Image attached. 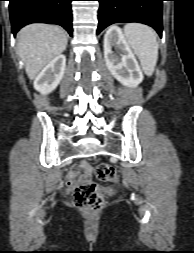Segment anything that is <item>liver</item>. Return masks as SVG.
<instances>
[{
	"instance_id": "6515ba94",
	"label": "liver",
	"mask_w": 194,
	"mask_h": 253,
	"mask_svg": "<svg viewBox=\"0 0 194 253\" xmlns=\"http://www.w3.org/2000/svg\"><path fill=\"white\" fill-rule=\"evenodd\" d=\"M67 46L65 31L58 26L36 23L27 25L18 33V54L25 65L29 79L39 72Z\"/></svg>"
}]
</instances>
